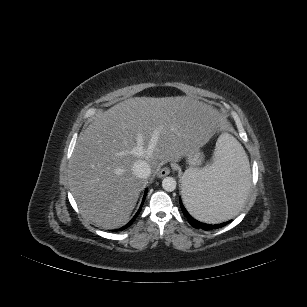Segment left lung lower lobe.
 I'll list each match as a JSON object with an SVG mask.
<instances>
[{"label":"left lung lower lobe","instance_id":"obj_1","mask_svg":"<svg viewBox=\"0 0 307 307\" xmlns=\"http://www.w3.org/2000/svg\"><path fill=\"white\" fill-rule=\"evenodd\" d=\"M247 181V174L246 172L241 168H234L229 174H228V180L227 184L224 187L222 191V203L231 211L236 212L241 205L242 196H243V190L244 185ZM181 210L184 214V216L187 218L190 225H192L195 228L203 229V230H212V229H218L221 228L227 224H229L232 220H229L227 222H223L220 224H206L202 223L196 219H194L188 211L185 209L181 198L179 199Z\"/></svg>","mask_w":307,"mask_h":307}]
</instances>
